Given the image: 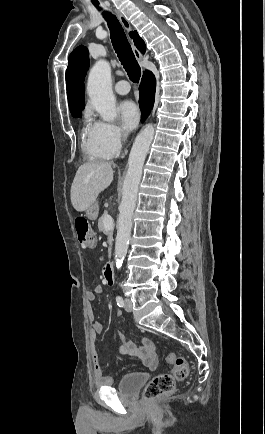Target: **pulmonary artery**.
<instances>
[{
  "label": "pulmonary artery",
  "instance_id": "e3ab8cb5",
  "mask_svg": "<svg viewBox=\"0 0 265 434\" xmlns=\"http://www.w3.org/2000/svg\"><path fill=\"white\" fill-rule=\"evenodd\" d=\"M130 87H131L130 81L122 80V81H117V84L115 85L114 89L117 93L121 95H125L129 92Z\"/></svg>",
  "mask_w": 265,
  "mask_h": 434
}]
</instances>
